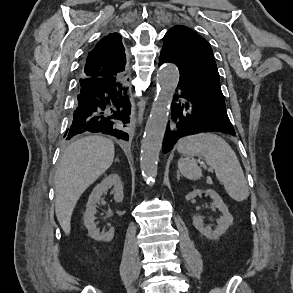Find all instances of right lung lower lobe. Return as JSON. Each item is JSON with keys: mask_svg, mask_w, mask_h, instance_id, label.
<instances>
[{"mask_svg": "<svg viewBox=\"0 0 293 293\" xmlns=\"http://www.w3.org/2000/svg\"><path fill=\"white\" fill-rule=\"evenodd\" d=\"M130 108L126 79H80L75 110L64 137L69 140L77 134L90 131L128 141L124 124L128 122Z\"/></svg>", "mask_w": 293, "mask_h": 293, "instance_id": "1", "label": "right lung lower lobe"}]
</instances>
